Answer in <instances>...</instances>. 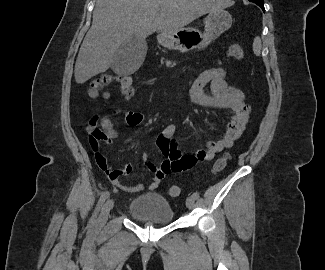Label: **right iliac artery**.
Listing matches in <instances>:
<instances>
[{
    "instance_id": "right-iliac-artery-1",
    "label": "right iliac artery",
    "mask_w": 325,
    "mask_h": 270,
    "mask_svg": "<svg viewBox=\"0 0 325 270\" xmlns=\"http://www.w3.org/2000/svg\"><path fill=\"white\" fill-rule=\"evenodd\" d=\"M110 193L108 191L104 192L100 199L98 200V203L96 205V208L94 210V213L90 219V224H94V222L96 221V217H97V214L100 210V208L102 207L103 203L105 202V200L109 197Z\"/></svg>"
}]
</instances>
